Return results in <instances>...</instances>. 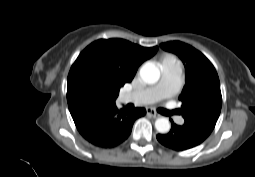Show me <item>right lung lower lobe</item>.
<instances>
[{"instance_id":"98d812e1","label":"right lung lower lobe","mask_w":255,"mask_h":177,"mask_svg":"<svg viewBox=\"0 0 255 177\" xmlns=\"http://www.w3.org/2000/svg\"><path fill=\"white\" fill-rule=\"evenodd\" d=\"M145 113L144 108L126 110L112 104L83 110L72 115V118L88 142L98 147L112 148L128 138L134 121Z\"/></svg>"}]
</instances>
